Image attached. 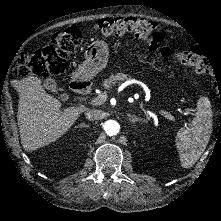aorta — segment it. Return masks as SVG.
<instances>
[{
	"mask_svg": "<svg viewBox=\"0 0 221 221\" xmlns=\"http://www.w3.org/2000/svg\"><path fill=\"white\" fill-rule=\"evenodd\" d=\"M103 127H104V130H105L106 134L109 135V136L116 135L120 130V125L115 120L106 121L104 123Z\"/></svg>",
	"mask_w": 221,
	"mask_h": 221,
	"instance_id": "762f6f07",
	"label": "aorta"
}]
</instances>
